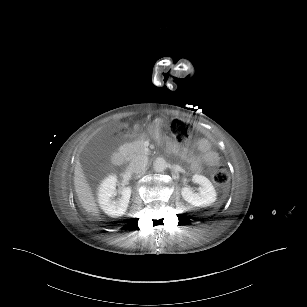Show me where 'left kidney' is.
I'll use <instances>...</instances> for the list:
<instances>
[{
    "label": "left kidney",
    "mask_w": 307,
    "mask_h": 307,
    "mask_svg": "<svg viewBox=\"0 0 307 307\" xmlns=\"http://www.w3.org/2000/svg\"><path fill=\"white\" fill-rule=\"evenodd\" d=\"M192 182L200 185L198 192H195L190 187L181 189L182 198L194 207H208L211 206L217 199V192L212 182L205 176L194 174Z\"/></svg>",
    "instance_id": "obj_1"
}]
</instances>
